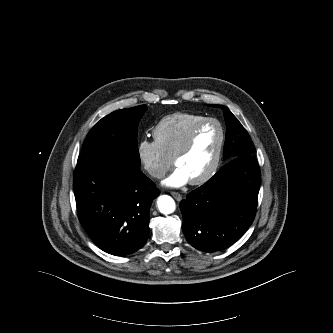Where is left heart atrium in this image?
I'll list each match as a JSON object with an SVG mask.
<instances>
[{
    "mask_svg": "<svg viewBox=\"0 0 333 333\" xmlns=\"http://www.w3.org/2000/svg\"><path fill=\"white\" fill-rule=\"evenodd\" d=\"M190 180L186 173L179 167H176L173 172L164 180L163 185L171 188H178L189 183Z\"/></svg>",
    "mask_w": 333,
    "mask_h": 333,
    "instance_id": "left-heart-atrium-1",
    "label": "left heart atrium"
}]
</instances>
